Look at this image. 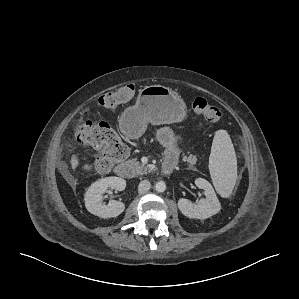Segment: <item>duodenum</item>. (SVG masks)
<instances>
[{
	"instance_id": "obj_1",
	"label": "duodenum",
	"mask_w": 299,
	"mask_h": 299,
	"mask_svg": "<svg viewBox=\"0 0 299 299\" xmlns=\"http://www.w3.org/2000/svg\"><path fill=\"white\" fill-rule=\"evenodd\" d=\"M174 167V163L164 161L162 164V171L165 174H169L173 171ZM115 173L122 178H128L131 176V168L127 163H120L115 167Z\"/></svg>"
}]
</instances>
